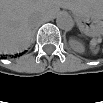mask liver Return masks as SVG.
Instances as JSON below:
<instances>
[{
    "mask_svg": "<svg viewBox=\"0 0 103 103\" xmlns=\"http://www.w3.org/2000/svg\"><path fill=\"white\" fill-rule=\"evenodd\" d=\"M73 3L72 0H2L1 52L13 54L26 49L32 41V29L36 20L52 19L60 8L72 10Z\"/></svg>",
    "mask_w": 103,
    "mask_h": 103,
    "instance_id": "1",
    "label": "liver"
}]
</instances>
